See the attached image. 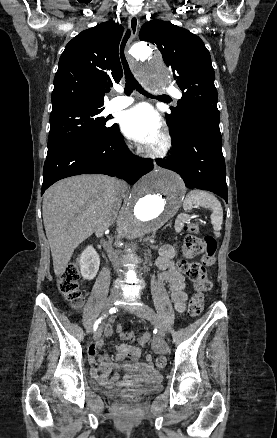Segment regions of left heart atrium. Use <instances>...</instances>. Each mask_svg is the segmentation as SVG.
Masks as SVG:
<instances>
[{
	"label": "left heart atrium",
	"mask_w": 277,
	"mask_h": 438,
	"mask_svg": "<svg viewBox=\"0 0 277 438\" xmlns=\"http://www.w3.org/2000/svg\"><path fill=\"white\" fill-rule=\"evenodd\" d=\"M123 133L151 149L162 134V121L148 104H140L124 112L120 118Z\"/></svg>",
	"instance_id": "39dd6f15"
}]
</instances>
